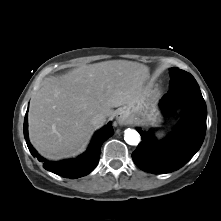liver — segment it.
Masks as SVG:
<instances>
[{
	"label": "liver",
	"instance_id": "6515ba94",
	"mask_svg": "<svg viewBox=\"0 0 221 221\" xmlns=\"http://www.w3.org/2000/svg\"><path fill=\"white\" fill-rule=\"evenodd\" d=\"M148 75L143 64L113 60L74 69L46 83L30 103L31 143L48 159L76 155L97 128L92 117H114L113 108L138 103Z\"/></svg>",
	"mask_w": 221,
	"mask_h": 221
}]
</instances>
